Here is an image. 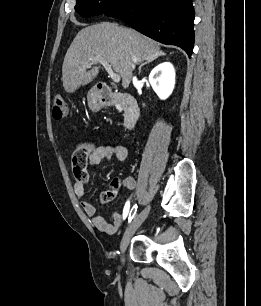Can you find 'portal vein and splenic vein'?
I'll list each match as a JSON object with an SVG mask.
<instances>
[{
	"label": "portal vein and splenic vein",
	"mask_w": 261,
	"mask_h": 306,
	"mask_svg": "<svg viewBox=\"0 0 261 306\" xmlns=\"http://www.w3.org/2000/svg\"><path fill=\"white\" fill-rule=\"evenodd\" d=\"M94 63H100L105 68V70L107 71L108 75L111 77V79L115 83L120 82V79H121L120 75L115 73L112 70L111 65L105 59H102V58H99V57H94V58L90 59V62L88 63L87 66L91 67V65L94 64Z\"/></svg>",
	"instance_id": "obj_1"
}]
</instances>
